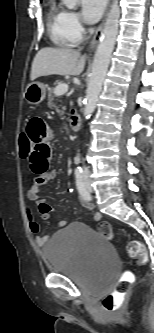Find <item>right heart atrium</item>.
Segmentation results:
<instances>
[{"instance_id": "d8ad5b80", "label": "right heart atrium", "mask_w": 154, "mask_h": 333, "mask_svg": "<svg viewBox=\"0 0 154 333\" xmlns=\"http://www.w3.org/2000/svg\"><path fill=\"white\" fill-rule=\"evenodd\" d=\"M65 23L68 34L75 43L84 37L86 29L81 21L80 16L76 12L67 11Z\"/></svg>"}]
</instances>
